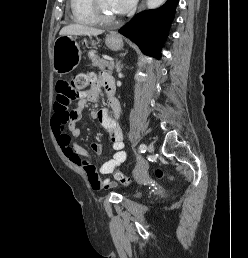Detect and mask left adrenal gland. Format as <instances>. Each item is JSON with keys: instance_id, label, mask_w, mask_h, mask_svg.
Wrapping results in <instances>:
<instances>
[{"instance_id": "a2214340", "label": "left adrenal gland", "mask_w": 248, "mask_h": 258, "mask_svg": "<svg viewBox=\"0 0 248 258\" xmlns=\"http://www.w3.org/2000/svg\"><path fill=\"white\" fill-rule=\"evenodd\" d=\"M122 65H121V61H119L117 64H116V70H117V72H120L121 71V69H122Z\"/></svg>"}]
</instances>
